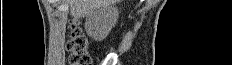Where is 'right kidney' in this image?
<instances>
[{
    "label": "right kidney",
    "mask_w": 232,
    "mask_h": 65,
    "mask_svg": "<svg viewBox=\"0 0 232 65\" xmlns=\"http://www.w3.org/2000/svg\"><path fill=\"white\" fill-rule=\"evenodd\" d=\"M118 17V9L114 6L98 8L87 16L85 30L94 40L101 41L116 25Z\"/></svg>",
    "instance_id": "obj_1"
}]
</instances>
